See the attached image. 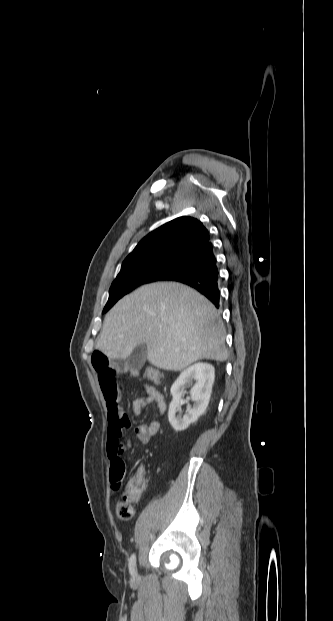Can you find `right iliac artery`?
Wrapping results in <instances>:
<instances>
[{
	"label": "right iliac artery",
	"mask_w": 333,
	"mask_h": 621,
	"mask_svg": "<svg viewBox=\"0 0 333 621\" xmlns=\"http://www.w3.org/2000/svg\"><path fill=\"white\" fill-rule=\"evenodd\" d=\"M135 570H136V556L135 554H132L129 559V571L132 576L135 575Z\"/></svg>",
	"instance_id": "obj_1"
}]
</instances>
